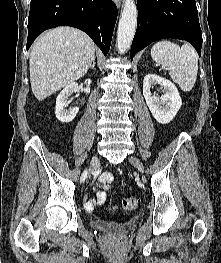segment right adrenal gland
<instances>
[{
	"label": "right adrenal gland",
	"instance_id": "obj_1",
	"mask_svg": "<svg viewBox=\"0 0 221 263\" xmlns=\"http://www.w3.org/2000/svg\"><path fill=\"white\" fill-rule=\"evenodd\" d=\"M95 64H96V62H95V60H94V61L92 62V65L90 66V68H91V69H94Z\"/></svg>",
	"mask_w": 221,
	"mask_h": 263
}]
</instances>
